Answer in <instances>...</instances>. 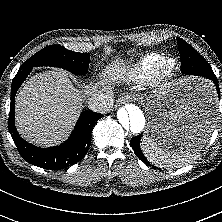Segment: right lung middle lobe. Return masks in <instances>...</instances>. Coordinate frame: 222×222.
<instances>
[{
	"label": "right lung middle lobe",
	"instance_id": "right-lung-middle-lobe-1",
	"mask_svg": "<svg viewBox=\"0 0 222 222\" xmlns=\"http://www.w3.org/2000/svg\"><path fill=\"white\" fill-rule=\"evenodd\" d=\"M89 56V53L73 52L60 45H51L30 57L21 67L54 66L76 75H85L89 68Z\"/></svg>",
	"mask_w": 222,
	"mask_h": 222
}]
</instances>
